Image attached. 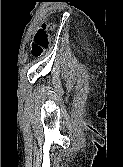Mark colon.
Listing matches in <instances>:
<instances>
[{
    "instance_id": "5ec220e1",
    "label": "colon",
    "mask_w": 123,
    "mask_h": 167,
    "mask_svg": "<svg viewBox=\"0 0 123 167\" xmlns=\"http://www.w3.org/2000/svg\"><path fill=\"white\" fill-rule=\"evenodd\" d=\"M52 27L53 26L51 24H44L36 31L33 42L31 44V55L34 58L41 57L45 49L48 47L49 32Z\"/></svg>"
}]
</instances>
